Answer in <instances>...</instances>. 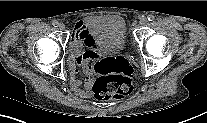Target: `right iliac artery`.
<instances>
[{"label":"right iliac artery","instance_id":"1","mask_svg":"<svg viewBox=\"0 0 207 123\" xmlns=\"http://www.w3.org/2000/svg\"><path fill=\"white\" fill-rule=\"evenodd\" d=\"M52 25H53L54 27H57V26H58V21H56V20L52 21Z\"/></svg>","mask_w":207,"mask_h":123}]
</instances>
